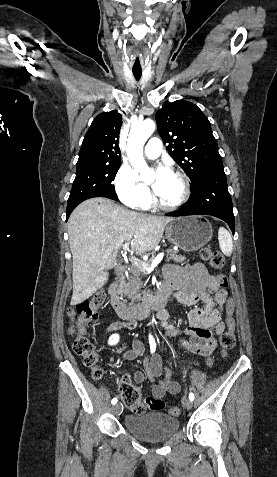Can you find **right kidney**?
<instances>
[{
	"label": "right kidney",
	"instance_id": "right-kidney-1",
	"mask_svg": "<svg viewBox=\"0 0 277 477\" xmlns=\"http://www.w3.org/2000/svg\"><path fill=\"white\" fill-rule=\"evenodd\" d=\"M119 340H120L119 335H118V334H113V335L110 336V338H109V340H108V344H109L110 346L117 345L118 342H119Z\"/></svg>",
	"mask_w": 277,
	"mask_h": 477
}]
</instances>
